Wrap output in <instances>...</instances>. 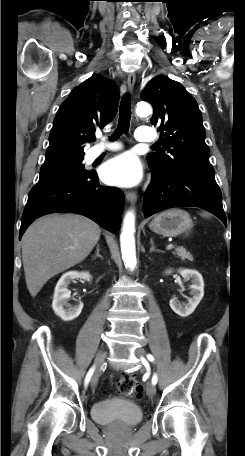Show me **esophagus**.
<instances>
[{
    "label": "esophagus",
    "mask_w": 245,
    "mask_h": 456,
    "mask_svg": "<svg viewBox=\"0 0 245 456\" xmlns=\"http://www.w3.org/2000/svg\"><path fill=\"white\" fill-rule=\"evenodd\" d=\"M135 81H136V76L134 73H130L128 78H127V86H128V89L129 91H132L133 88H134V85H135ZM126 199L130 202V203H135L136 200H137V195L135 192L133 191H128L126 192Z\"/></svg>",
    "instance_id": "esophagus-1"
}]
</instances>
